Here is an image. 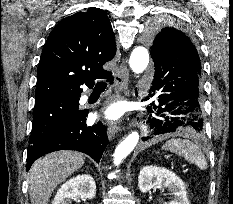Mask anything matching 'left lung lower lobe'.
I'll return each mask as SVG.
<instances>
[{"label": "left lung lower lobe", "instance_id": "left-lung-lower-lobe-1", "mask_svg": "<svg viewBox=\"0 0 233 204\" xmlns=\"http://www.w3.org/2000/svg\"><path fill=\"white\" fill-rule=\"evenodd\" d=\"M154 78L150 97L156 96L158 105L148 107L154 114L148 118L149 138L165 134L201 132L202 114L201 78L195 73L191 59L183 51L161 49L154 58Z\"/></svg>", "mask_w": 233, "mask_h": 204}]
</instances>
